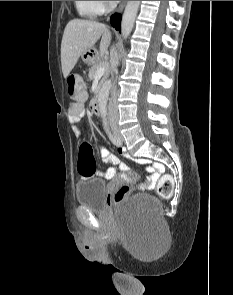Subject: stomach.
Instances as JSON below:
<instances>
[{
	"label": "stomach",
	"mask_w": 233,
	"mask_h": 295,
	"mask_svg": "<svg viewBox=\"0 0 233 295\" xmlns=\"http://www.w3.org/2000/svg\"><path fill=\"white\" fill-rule=\"evenodd\" d=\"M81 58H82L83 62L90 64L95 57L93 56V53L91 52V50L88 49L82 53Z\"/></svg>",
	"instance_id": "1"
}]
</instances>
